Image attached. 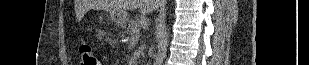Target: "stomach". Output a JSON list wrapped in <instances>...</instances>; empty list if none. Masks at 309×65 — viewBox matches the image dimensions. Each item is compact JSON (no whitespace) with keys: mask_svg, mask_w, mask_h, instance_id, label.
<instances>
[{"mask_svg":"<svg viewBox=\"0 0 309 65\" xmlns=\"http://www.w3.org/2000/svg\"><path fill=\"white\" fill-rule=\"evenodd\" d=\"M110 15L112 20L117 24L125 25L127 23V13L123 10L112 11Z\"/></svg>","mask_w":309,"mask_h":65,"instance_id":"obj_1","label":"stomach"}]
</instances>
